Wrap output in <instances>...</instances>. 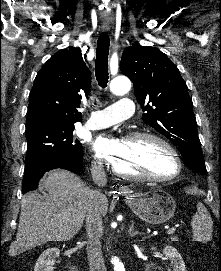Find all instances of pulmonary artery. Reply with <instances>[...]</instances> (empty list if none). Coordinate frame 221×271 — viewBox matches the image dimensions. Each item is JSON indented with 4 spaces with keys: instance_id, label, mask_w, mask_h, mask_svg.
I'll return each mask as SVG.
<instances>
[{
    "instance_id": "pulmonary-artery-1",
    "label": "pulmonary artery",
    "mask_w": 221,
    "mask_h": 271,
    "mask_svg": "<svg viewBox=\"0 0 221 271\" xmlns=\"http://www.w3.org/2000/svg\"><path fill=\"white\" fill-rule=\"evenodd\" d=\"M130 98H119L115 103L116 107H107V112H89L88 121H83V126L89 129H103L108 126H115V122H130L131 113L135 112Z\"/></svg>"
}]
</instances>
